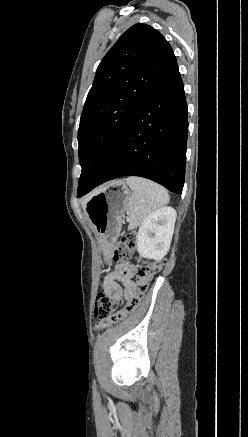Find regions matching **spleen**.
Instances as JSON below:
<instances>
[{
  "instance_id": "obj_1",
  "label": "spleen",
  "mask_w": 248,
  "mask_h": 437,
  "mask_svg": "<svg viewBox=\"0 0 248 437\" xmlns=\"http://www.w3.org/2000/svg\"><path fill=\"white\" fill-rule=\"evenodd\" d=\"M126 183L132 190L126 209L128 229L132 230L151 213L168 204L169 194L164 187L145 178L131 176L126 179Z\"/></svg>"
}]
</instances>
